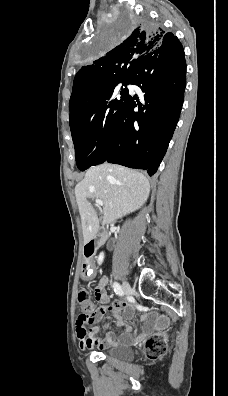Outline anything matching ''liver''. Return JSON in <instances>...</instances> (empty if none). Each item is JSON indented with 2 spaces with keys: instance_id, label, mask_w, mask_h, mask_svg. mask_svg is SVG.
I'll return each instance as SVG.
<instances>
[{
  "instance_id": "1",
  "label": "liver",
  "mask_w": 228,
  "mask_h": 396,
  "mask_svg": "<svg viewBox=\"0 0 228 396\" xmlns=\"http://www.w3.org/2000/svg\"><path fill=\"white\" fill-rule=\"evenodd\" d=\"M149 193L148 179L136 170L108 163L89 168L75 187L84 243L92 240L99 231V219L88 198L103 202L104 226L139 209Z\"/></svg>"
}]
</instances>
